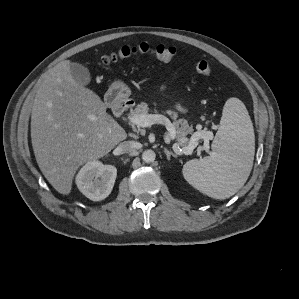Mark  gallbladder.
Listing matches in <instances>:
<instances>
[{
    "mask_svg": "<svg viewBox=\"0 0 299 299\" xmlns=\"http://www.w3.org/2000/svg\"><path fill=\"white\" fill-rule=\"evenodd\" d=\"M70 72L73 79L80 85L86 86L91 82L88 68L80 63H70Z\"/></svg>",
    "mask_w": 299,
    "mask_h": 299,
    "instance_id": "1",
    "label": "gallbladder"
}]
</instances>
